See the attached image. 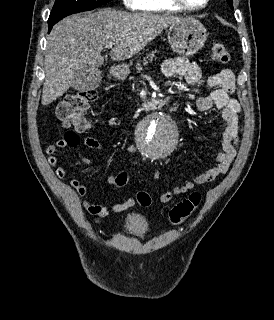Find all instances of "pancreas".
<instances>
[{"instance_id": "obj_1", "label": "pancreas", "mask_w": 274, "mask_h": 320, "mask_svg": "<svg viewBox=\"0 0 274 320\" xmlns=\"http://www.w3.org/2000/svg\"><path fill=\"white\" fill-rule=\"evenodd\" d=\"M155 54H156V50L155 52H151V54H148L147 58H144V62L143 64H148L147 60L149 58L150 62H152L153 58H155ZM137 70H143V68H141V64H137Z\"/></svg>"}]
</instances>
